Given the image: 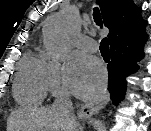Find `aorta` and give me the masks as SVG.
<instances>
[{
    "instance_id": "obj_1",
    "label": "aorta",
    "mask_w": 151,
    "mask_h": 131,
    "mask_svg": "<svg viewBox=\"0 0 151 131\" xmlns=\"http://www.w3.org/2000/svg\"><path fill=\"white\" fill-rule=\"evenodd\" d=\"M76 24V15L73 9H69L47 21L44 37L53 56H58L62 53L68 36L75 29Z\"/></svg>"
}]
</instances>
